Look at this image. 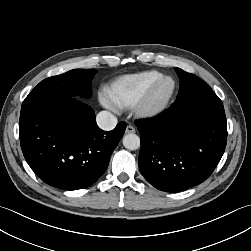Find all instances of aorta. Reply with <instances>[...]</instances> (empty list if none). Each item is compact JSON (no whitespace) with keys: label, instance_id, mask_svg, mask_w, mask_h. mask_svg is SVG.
Masks as SVG:
<instances>
[{"label":"aorta","instance_id":"obj_1","mask_svg":"<svg viewBox=\"0 0 251 251\" xmlns=\"http://www.w3.org/2000/svg\"><path fill=\"white\" fill-rule=\"evenodd\" d=\"M123 145L129 150H137L140 147V138L136 134H127L123 138Z\"/></svg>","mask_w":251,"mask_h":251}]
</instances>
